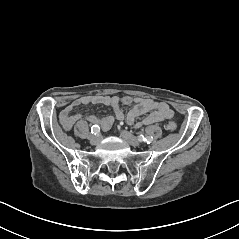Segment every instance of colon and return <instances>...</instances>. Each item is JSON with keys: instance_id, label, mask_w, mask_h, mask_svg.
I'll return each instance as SVG.
<instances>
[{"instance_id": "colon-1", "label": "colon", "mask_w": 239, "mask_h": 239, "mask_svg": "<svg viewBox=\"0 0 239 239\" xmlns=\"http://www.w3.org/2000/svg\"><path fill=\"white\" fill-rule=\"evenodd\" d=\"M166 128H167L169 131H175V129H176V124H175V122H173V121L169 122V123L166 125Z\"/></svg>"}]
</instances>
